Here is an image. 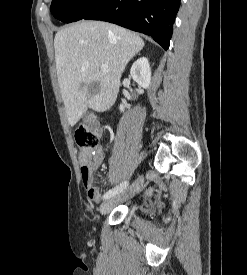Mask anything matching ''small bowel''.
Here are the masks:
<instances>
[{
    "label": "small bowel",
    "instance_id": "obj_1",
    "mask_svg": "<svg viewBox=\"0 0 247 275\" xmlns=\"http://www.w3.org/2000/svg\"><path fill=\"white\" fill-rule=\"evenodd\" d=\"M95 156L92 159H85L83 154L80 156L81 161V177L83 185L86 189L88 198L93 202H98L101 197L100 189L94 184L93 175L104 159L102 148H96Z\"/></svg>",
    "mask_w": 247,
    "mask_h": 275
}]
</instances>
